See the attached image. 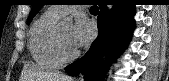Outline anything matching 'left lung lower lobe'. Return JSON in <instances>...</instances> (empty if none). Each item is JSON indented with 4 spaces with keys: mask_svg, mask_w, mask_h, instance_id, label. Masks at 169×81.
I'll return each mask as SVG.
<instances>
[{
    "mask_svg": "<svg viewBox=\"0 0 169 81\" xmlns=\"http://www.w3.org/2000/svg\"><path fill=\"white\" fill-rule=\"evenodd\" d=\"M117 2L111 12L107 10L105 3L99 4V35L83 58L65 68L70 75H77L83 70L86 81H99L104 46L107 45L108 62L127 47L134 28L135 5L125 0Z\"/></svg>",
    "mask_w": 169,
    "mask_h": 81,
    "instance_id": "obj_1",
    "label": "left lung lower lobe"
}]
</instances>
